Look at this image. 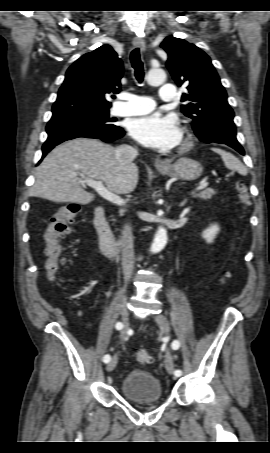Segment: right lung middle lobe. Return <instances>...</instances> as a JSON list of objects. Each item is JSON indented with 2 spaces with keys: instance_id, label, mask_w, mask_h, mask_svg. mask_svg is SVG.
<instances>
[{
  "instance_id": "obj_1",
  "label": "right lung middle lobe",
  "mask_w": 270,
  "mask_h": 453,
  "mask_svg": "<svg viewBox=\"0 0 270 453\" xmlns=\"http://www.w3.org/2000/svg\"><path fill=\"white\" fill-rule=\"evenodd\" d=\"M50 122H76L97 127H112L113 119L109 118V110L86 111L70 116L51 118Z\"/></svg>"
}]
</instances>
